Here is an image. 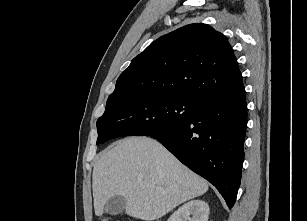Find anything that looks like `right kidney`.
<instances>
[{
  "instance_id": "1",
  "label": "right kidney",
  "mask_w": 307,
  "mask_h": 221,
  "mask_svg": "<svg viewBox=\"0 0 307 221\" xmlns=\"http://www.w3.org/2000/svg\"><path fill=\"white\" fill-rule=\"evenodd\" d=\"M208 216L209 206L206 202L191 200L176 210L168 221H208Z\"/></svg>"
}]
</instances>
